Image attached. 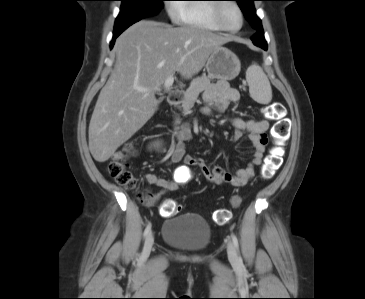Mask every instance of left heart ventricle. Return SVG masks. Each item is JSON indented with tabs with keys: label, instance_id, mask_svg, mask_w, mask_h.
Wrapping results in <instances>:
<instances>
[{
	"label": "left heart ventricle",
	"instance_id": "b2bd125f",
	"mask_svg": "<svg viewBox=\"0 0 365 299\" xmlns=\"http://www.w3.org/2000/svg\"><path fill=\"white\" fill-rule=\"evenodd\" d=\"M241 22L240 14L233 5H227L223 12V24L229 28L239 27Z\"/></svg>",
	"mask_w": 365,
	"mask_h": 299
}]
</instances>
